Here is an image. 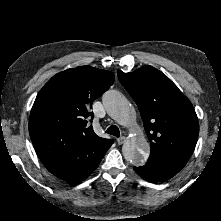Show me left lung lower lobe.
I'll return each mask as SVG.
<instances>
[{"instance_id":"1","label":"left lung lower lobe","mask_w":221,"mask_h":221,"mask_svg":"<svg viewBox=\"0 0 221 221\" xmlns=\"http://www.w3.org/2000/svg\"><path fill=\"white\" fill-rule=\"evenodd\" d=\"M134 170L148 182H164L172 178L178 172L164 166L147 162L144 166L134 167Z\"/></svg>"}]
</instances>
